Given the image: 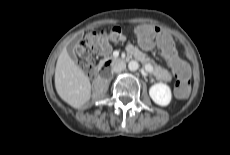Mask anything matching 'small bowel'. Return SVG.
<instances>
[{
    "label": "small bowel",
    "instance_id": "c3829d8e",
    "mask_svg": "<svg viewBox=\"0 0 230 155\" xmlns=\"http://www.w3.org/2000/svg\"><path fill=\"white\" fill-rule=\"evenodd\" d=\"M135 35L139 37L140 43L146 49L152 47V43L162 50V57L169 61L171 68L182 63L176 57L178 49L174 45L175 39L169 30L160 28L158 23L152 22L148 25L140 23L135 26Z\"/></svg>",
    "mask_w": 230,
    "mask_h": 155
}]
</instances>
